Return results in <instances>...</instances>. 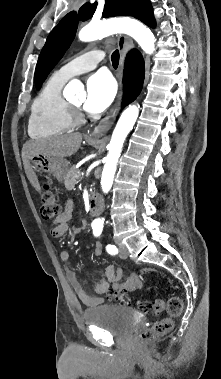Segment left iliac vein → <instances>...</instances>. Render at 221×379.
<instances>
[{
    "label": "left iliac vein",
    "instance_id": "4c4485c4",
    "mask_svg": "<svg viewBox=\"0 0 221 379\" xmlns=\"http://www.w3.org/2000/svg\"><path fill=\"white\" fill-rule=\"evenodd\" d=\"M119 256L123 259H126L128 257V249L123 243H119Z\"/></svg>",
    "mask_w": 221,
    "mask_h": 379
}]
</instances>
